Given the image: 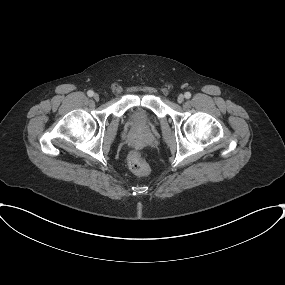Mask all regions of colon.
Masks as SVG:
<instances>
[{
	"label": "colon",
	"mask_w": 285,
	"mask_h": 285,
	"mask_svg": "<svg viewBox=\"0 0 285 285\" xmlns=\"http://www.w3.org/2000/svg\"><path fill=\"white\" fill-rule=\"evenodd\" d=\"M128 166L133 173L139 176H146L149 173L148 164L141 155L136 152L129 155Z\"/></svg>",
	"instance_id": "obj_1"
}]
</instances>
